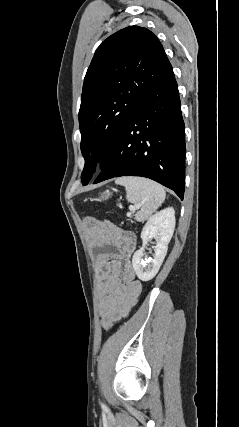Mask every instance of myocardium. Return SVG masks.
Listing matches in <instances>:
<instances>
[{"label":"myocardium","mask_w":239,"mask_h":427,"mask_svg":"<svg viewBox=\"0 0 239 427\" xmlns=\"http://www.w3.org/2000/svg\"><path fill=\"white\" fill-rule=\"evenodd\" d=\"M102 155L105 157H109L112 156L115 153V147L113 144L111 143H107L103 146L102 151H101Z\"/></svg>","instance_id":"myocardium-1"}]
</instances>
